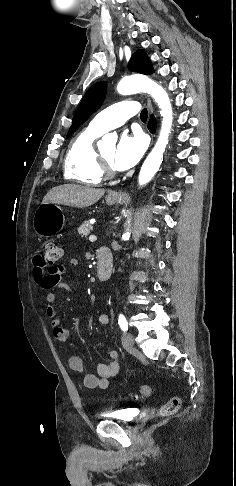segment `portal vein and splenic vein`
<instances>
[{"label": "portal vein and splenic vein", "mask_w": 236, "mask_h": 486, "mask_svg": "<svg viewBox=\"0 0 236 486\" xmlns=\"http://www.w3.org/2000/svg\"><path fill=\"white\" fill-rule=\"evenodd\" d=\"M97 239V237L95 235H90L89 236V241L93 242Z\"/></svg>", "instance_id": "portal-vein-and-splenic-vein-1"}]
</instances>
